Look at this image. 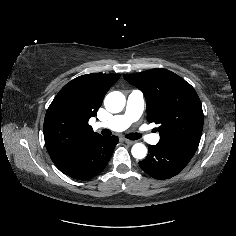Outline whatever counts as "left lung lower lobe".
<instances>
[{
    "instance_id": "1",
    "label": "left lung lower lobe",
    "mask_w": 236,
    "mask_h": 236,
    "mask_svg": "<svg viewBox=\"0 0 236 236\" xmlns=\"http://www.w3.org/2000/svg\"><path fill=\"white\" fill-rule=\"evenodd\" d=\"M198 148L192 143H157L149 145L147 157L140 167L155 179H168L177 175L189 163Z\"/></svg>"
}]
</instances>
